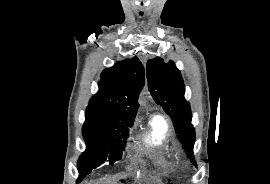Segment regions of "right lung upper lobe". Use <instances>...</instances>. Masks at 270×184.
<instances>
[{"label": "right lung upper lobe", "instance_id": "obj_1", "mask_svg": "<svg viewBox=\"0 0 270 184\" xmlns=\"http://www.w3.org/2000/svg\"><path fill=\"white\" fill-rule=\"evenodd\" d=\"M99 91L90 100L87 114L100 120L130 122L138 109V96L144 86V68L135 56L118 62L101 74Z\"/></svg>", "mask_w": 270, "mask_h": 184}]
</instances>
